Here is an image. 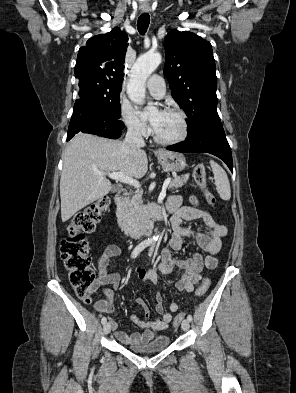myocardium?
Instances as JSON below:
<instances>
[{"label": "myocardium", "mask_w": 296, "mask_h": 393, "mask_svg": "<svg viewBox=\"0 0 296 393\" xmlns=\"http://www.w3.org/2000/svg\"><path fill=\"white\" fill-rule=\"evenodd\" d=\"M166 112L177 114L180 117L181 124H182L181 134L174 139H162L156 134V131L153 128V130H152L153 138L157 143H159L161 145L179 144V143L183 142L189 134V123H188L187 115L185 114V112L183 110L178 109V108H169L168 110H166Z\"/></svg>", "instance_id": "obj_1"}]
</instances>
